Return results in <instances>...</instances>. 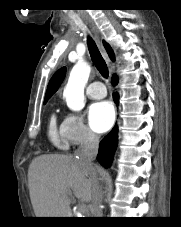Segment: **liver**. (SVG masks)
Returning <instances> with one entry per match:
<instances>
[{"label":"liver","mask_w":181,"mask_h":227,"mask_svg":"<svg viewBox=\"0 0 181 227\" xmlns=\"http://www.w3.org/2000/svg\"><path fill=\"white\" fill-rule=\"evenodd\" d=\"M96 169L73 155L44 154L28 170L30 199L36 217H71L72 194L84 202L93 199Z\"/></svg>","instance_id":"obj_1"}]
</instances>
